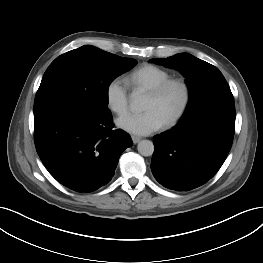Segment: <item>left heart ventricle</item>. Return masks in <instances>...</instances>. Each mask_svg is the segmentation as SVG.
<instances>
[{"mask_svg": "<svg viewBox=\"0 0 263 263\" xmlns=\"http://www.w3.org/2000/svg\"><path fill=\"white\" fill-rule=\"evenodd\" d=\"M182 100V92L178 87H172L163 97L155 98L147 94L143 109L155 110L164 122L177 110Z\"/></svg>", "mask_w": 263, "mask_h": 263, "instance_id": "1", "label": "left heart ventricle"}]
</instances>
